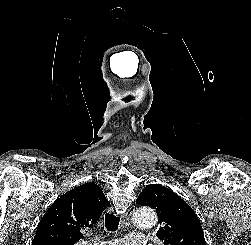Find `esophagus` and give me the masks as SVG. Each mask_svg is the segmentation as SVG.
Returning a JSON list of instances; mask_svg holds the SVG:
<instances>
[{"mask_svg":"<svg viewBox=\"0 0 251 245\" xmlns=\"http://www.w3.org/2000/svg\"><path fill=\"white\" fill-rule=\"evenodd\" d=\"M135 208L134 206L129 207V209L127 210V212L123 215V219L122 222L125 223L127 221H129V219L131 218L132 214L134 213Z\"/></svg>","mask_w":251,"mask_h":245,"instance_id":"34e87169","label":"esophagus"}]
</instances>
